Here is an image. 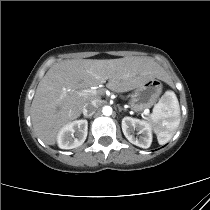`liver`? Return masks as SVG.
Listing matches in <instances>:
<instances>
[{"instance_id":"1","label":"liver","mask_w":210,"mask_h":210,"mask_svg":"<svg viewBox=\"0 0 210 210\" xmlns=\"http://www.w3.org/2000/svg\"><path fill=\"white\" fill-rule=\"evenodd\" d=\"M163 76V68L146 57L56 63L37 86L31 105L33 128L43 142L54 145L60 130L80 117L84 105L104 94V90L95 89L99 85L108 81V89L122 93ZM85 90L92 92L84 93Z\"/></svg>"}]
</instances>
